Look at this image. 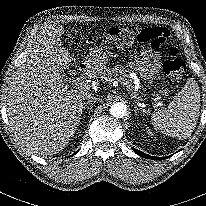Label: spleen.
<instances>
[{"label": "spleen", "instance_id": "3e777b00", "mask_svg": "<svg viewBox=\"0 0 206 206\" xmlns=\"http://www.w3.org/2000/svg\"><path fill=\"white\" fill-rule=\"evenodd\" d=\"M200 111V89L189 78L167 108L157 110L151 124L159 132L178 139L188 138L194 131Z\"/></svg>", "mask_w": 206, "mask_h": 206}]
</instances>
